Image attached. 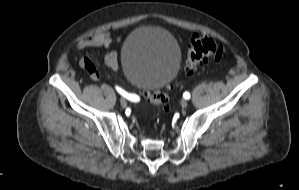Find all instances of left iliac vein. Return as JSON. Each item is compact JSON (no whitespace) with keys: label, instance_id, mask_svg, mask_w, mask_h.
Masks as SVG:
<instances>
[{"label":"left iliac vein","instance_id":"1","mask_svg":"<svg viewBox=\"0 0 299 190\" xmlns=\"http://www.w3.org/2000/svg\"><path fill=\"white\" fill-rule=\"evenodd\" d=\"M187 105H188V101L185 100V99H183V100L181 101V107H182V108H186Z\"/></svg>","mask_w":299,"mask_h":190}]
</instances>
